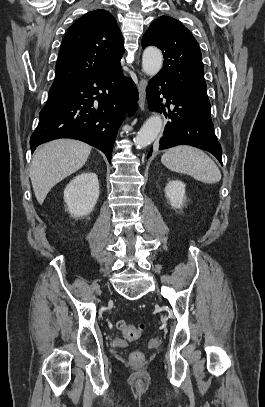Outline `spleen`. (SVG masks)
<instances>
[{"instance_id":"obj_1","label":"spleen","mask_w":265,"mask_h":407,"mask_svg":"<svg viewBox=\"0 0 265 407\" xmlns=\"http://www.w3.org/2000/svg\"><path fill=\"white\" fill-rule=\"evenodd\" d=\"M161 161L168 169L188 174L207 184L221 180V172L215 162L202 150L181 145L168 149Z\"/></svg>"}]
</instances>
